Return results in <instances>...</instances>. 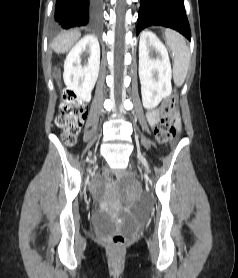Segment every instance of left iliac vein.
Returning a JSON list of instances; mask_svg holds the SVG:
<instances>
[{
  "label": "left iliac vein",
  "instance_id": "4c4485c4",
  "mask_svg": "<svg viewBox=\"0 0 238 278\" xmlns=\"http://www.w3.org/2000/svg\"><path fill=\"white\" fill-rule=\"evenodd\" d=\"M138 157H139L140 161L143 163V165H144L146 168H148L149 165H148L147 160H146L142 155H138Z\"/></svg>",
  "mask_w": 238,
  "mask_h": 278
}]
</instances>
